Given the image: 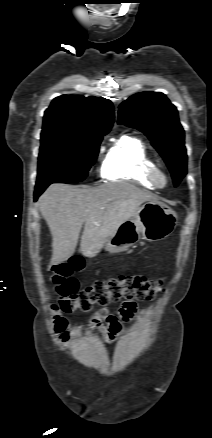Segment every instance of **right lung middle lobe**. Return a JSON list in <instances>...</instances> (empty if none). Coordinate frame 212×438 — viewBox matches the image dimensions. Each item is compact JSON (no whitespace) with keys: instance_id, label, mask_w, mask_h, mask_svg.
Wrapping results in <instances>:
<instances>
[{"instance_id":"right-lung-middle-lobe-1","label":"right lung middle lobe","mask_w":212,"mask_h":438,"mask_svg":"<svg viewBox=\"0 0 212 438\" xmlns=\"http://www.w3.org/2000/svg\"><path fill=\"white\" fill-rule=\"evenodd\" d=\"M103 136L41 134L36 185L84 180L96 161Z\"/></svg>"}]
</instances>
